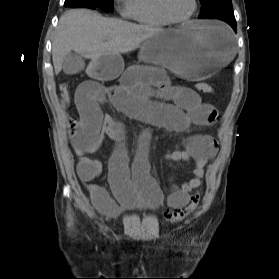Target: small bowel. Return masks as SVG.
<instances>
[{"mask_svg":"<svg viewBox=\"0 0 279 279\" xmlns=\"http://www.w3.org/2000/svg\"><path fill=\"white\" fill-rule=\"evenodd\" d=\"M106 104L150 127L175 132L185 131L192 125H213L217 120V110L204 103L194 90L171 85L164 72L153 67L127 68L119 85L105 86L90 81L77 88L74 95L76 114L70 119L68 136L79 156L77 175L86 185L94 206L109 216L120 212L118 204L126 208H157L164 197L149 172L150 132L146 130L140 136L134 160L130 164L124 125L104 113L103 106ZM104 136L116 143L109 161L108 176L115 199L105 187L96 183L102 164L88 157L98 149ZM217 149V141L212 136L197 134L188 137L182 149L165 156L169 162L187 161L195 165L187 182L172 184L167 199L171 207L181 208L188 203L189 193L200 186L204 167L215 157Z\"/></svg>","mask_w":279,"mask_h":279,"instance_id":"small-bowel-1","label":"small bowel"}]
</instances>
